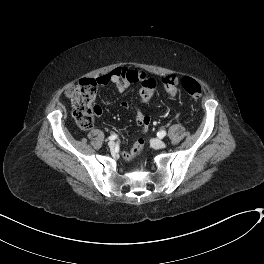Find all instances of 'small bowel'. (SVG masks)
Wrapping results in <instances>:
<instances>
[{
	"label": "small bowel",
	"instance_id": "1",
	"mask_svg": "<svg viewBox=\"0 0 264 264\" xmlns=\"http://www.w3.org/2000/svg\"><path fill=\"white\" fill-rule=\"evenodd\" d=\"M148 75L141 69L123 67L112 71L111 73L97 78V83L106 85L112 83L119 92H124L129 84L141 83ZM122 109H128L129 103L125 100L120 101ZM98 113L101 108L97 106ZM136 124L140 130H146L150 125V118L140 106L135 107Z\"/></svg>",
	"mask_w": 264,
	"mask_h": 264
}]
</instances>
